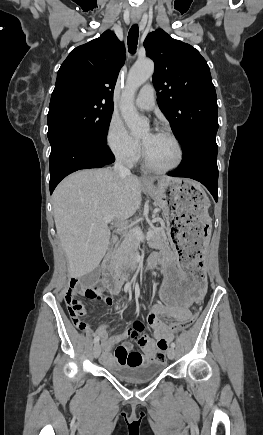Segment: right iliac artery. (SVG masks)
Returning a JSON list of instances; mask_svg holds the SVG:
<instances>
[{
  "label": "right iliac artery",
  "mask_w": 263,
  "mask_h": 435,
  "mask_svg": "<svg viewBox=\"0 0 263 435\" xmlns=\"http://www.w3.org/2000/svg\"><path fill=\"white\" fill-rule=\"evenodd\" d=\"M93 342H94L95 344L98 343V342H99V337L96 336V337L94 338Z\"/></svg>",
  "instance_id": "82829eb1"
}]
</instances>
